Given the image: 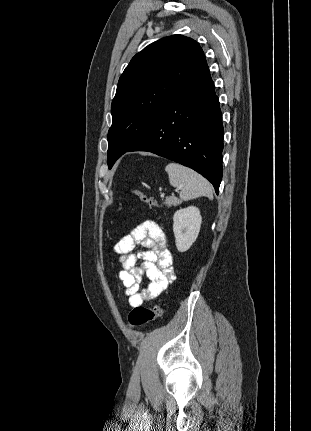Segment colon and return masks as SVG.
<instances>
[{
  "label": "colon",
  "mask_w": 311,
  "mask_h": 431,
  "mask_svg": "<svg viewBox=\"0 0 311 431\" xmlns=\"http://www.w3.org/2000/svg\"><path fill=\"white\" fill-rule=\"evenodd\" d=\"M133 194L140 199L141 202L147 204L150 207H158L159 204L156 200L149 197L147 194L140 190H134ZM161 314V308L159 305H154L152 308H146L143 306L134 307L128 315V323L131 327H140Z\"/></svg>",
  "instance_id": "colon-1"
}]
</instances>
